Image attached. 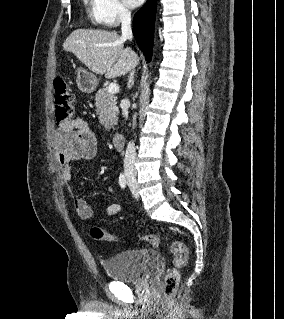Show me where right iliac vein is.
Here are the masks:
<instances>
[{"label":"right iliac vein","instance_id":"right-iliac-vein-1","mask_svg":"<svg viewBox=\"0 0 284 319\" xmlns=\"http://www.w3.org/2000/svg\"><path fill=\"white\" fill-rule=\"evenodd\" d=\"M126 177H127V180H128V183H129V186H130L132 192L136 196H138V185L136 183L134 174L131 171H127L126 172Z\"/></svg>","mask_w":284,"mask_h":319}]
</instances>
